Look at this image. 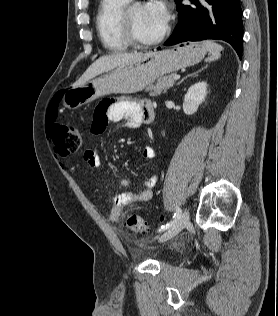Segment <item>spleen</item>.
Listing matches in <instances>:
<instances>
[{
    "instance_id": "spleen-1",
    "label": "spleen",
    "mask_w": 278,
    "mask_h": 316,
    "mask_svg": "<svg viewBox=\"0 0 278 316\" xmlns=\"http://www.w3.org/2000/svg\"><path fill=\"white\" fill-rule=\"evenodd\" d=\"M204 48L209 51L210 56L206 59V62L215 61L221 57V51L223 47L213 41H203Z\"/></svg>"
}]
</instances>
